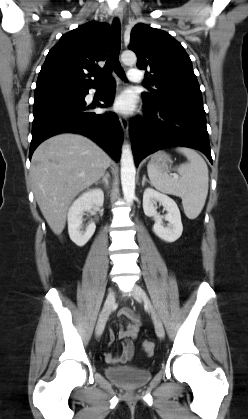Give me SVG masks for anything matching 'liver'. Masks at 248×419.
<instances>
[{"label":"liver","instance_id":"liver-1","mask_svg":"<svg viewBox=\"0 0 248 419\" xmlns=\"http://www.w3.org/2000/svg\"><path fill=\"white\" fill-rule=\"evenodd\" d=\"M111 158L89 138L72 133L53 136L34 151L30 177L38 206L51 230L60 235L74 198L96 183Z\"/></svg>","mask_w":248,"mask_h":419}]
</instances>
